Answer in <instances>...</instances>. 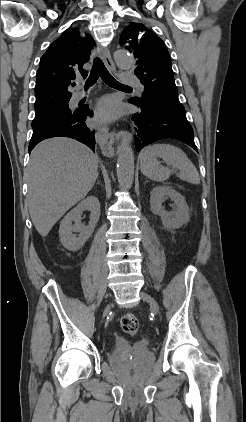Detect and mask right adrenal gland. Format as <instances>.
<instances>
[{"label":"right adrenal gland","mask_w":246,"mask_h":422,"mask_svg":"<svg viewBox=\"0 0 246 422\" xmlns=\"http://www.w3.org/2000/svg\"><path fill=\"white\" fill-rule=\"evenodd\" d=\"M97 184H100L99 180L97 181Z\"/></svg>","instance_id":"2a0ac1e0"}]
</instances>
